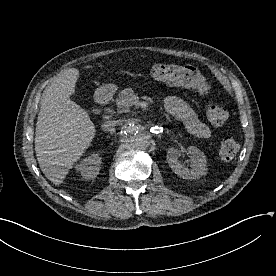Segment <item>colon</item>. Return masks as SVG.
Listing matches in <instances>:
<instances>
[{
    "label": "colon",
    "instance_id": "1",
    "mask_svg": "<svg viewBox=\"0 0 276 276\" xmlns=\"http://www.w3.org/2000/svg\"><path fill=\"white\" fill-rule=\"evenodd\" d=\"M151 75L159 82L187 87L200 94H207L210 88L200 70L192 65L155 64L151 68ZM206 116L212 125L221 126L228 119V111L223 105L211 101L207 104ZM238 151L239 144L234 138L225 137L222 139L219 149L222 159L231 160Z\"/></svg>",
    "mask_w": 276,
    "mask_h": 276
}]
</instances>
